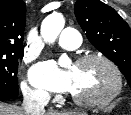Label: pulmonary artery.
<instances>
[{
	"label": "pulmonary artery",
	"instance_id": "pulmonary-artery-1",
	"mask_svg": "<svg viewBox=\"0 0 131 115\" xmlns=\"http://www.w3.org/2000/svg\"><path fill=\"white\" fill-rule=\"evenodd\" d=\"M81 37L77 30L72 28L64 29L57 42L64 49H76L80 46Z\"/></svg>",
	"mask_w": 131,
	"mask_h": 115
}]
</instances>
